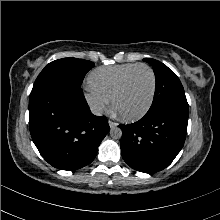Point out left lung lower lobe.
<instances>
[{"mask_svg": "<svg viewBox=\"0 0 220 220\" xmlns=\"http://www.w3.org/2000/svg\"><path fill=\"white\" fill-rule=\"evenodd\" d=\"M188 114L172 108L148 111L139 121L119 125L121 153L133 169L155 173L166 168L183 147Z\"/></svg>", "mask_w": 220, "mask_h": 220, "instance_id": "1", "label": "left lung lower lobe"}]
</instances>
